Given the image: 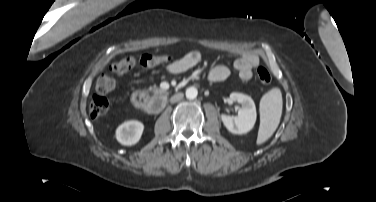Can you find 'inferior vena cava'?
I'll list each match as a JSON object with an SVG mask.
<instances>
[{"mask_svg":"<svg viewBox=\"0 0 376 202\" xmlns=\"http://www.w3.org/2000/svg\"><path fill=\"white\" fill-rule=\"evenodd\" d=\"M183 98V94L179 93V94H176L175 96H173L172 98V102H176V101H179L180 99Z\"/></svg>","mask_w":376,"mask_h":202,"instance_id":"1","label":"inferior vena cava"}]
</instances>
